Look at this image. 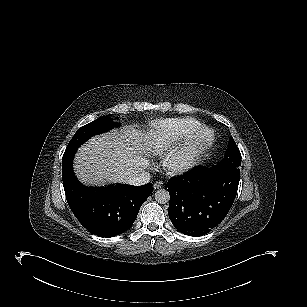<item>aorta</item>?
<instances>
[{"label":"aorta","instance_id":"aorta-1","mask_svg":"<svg viewBox=\"0 0 307 307\" xmlns=\"http://www.w3.org/2000/svg\"><path fill=\"white\" fill-rule=\"evenodd\" d=\"M155 200L159 204H166L170 200V194L167 190L165 189H159L155 192Z\"/></svg>","mask_w":307,"mask_h":307}]
</instances>
